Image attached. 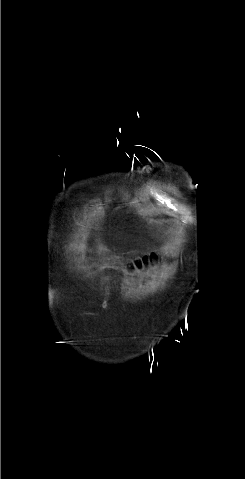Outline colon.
Segmentation results:
<instances>
[{"mask_svg":"<svg viewBox=\"0 0 245 479\" xmlns=\"http://www.w3.org/2000/svg\"><path fill=\"white\" fill-rule=\"evenodd\" d=\"M150 260H151V259L148 258V257L142 258V259L136 261L133 266L145 265V264L148 263Z\"/></svg>","mask_w":245,"mask_h":479,"instance_id":"5ec220e1","label":"colon"}]
</instances>
